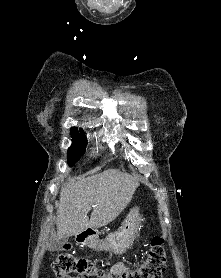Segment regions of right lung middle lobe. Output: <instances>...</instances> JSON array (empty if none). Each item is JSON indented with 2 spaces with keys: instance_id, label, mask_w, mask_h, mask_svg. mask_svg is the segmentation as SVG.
Wrapping results in <instances>:
<instances>
[{
  "instance_id": "1",
  "label": "right lung middle lobe",
  "mask_w": 221,
  "mask_h": 278,
  "mask_svg": "<svg viewBox=\"0 0 221 278\" xmlns=\"http://www.w3.org/2000/svg\"><path fill=\"white\" fill-rule=\"evenodd\" d=\"M71 136L73 138V144L68 149V163L72 166L77 160H79L80 155L84 153L85 147L87 145V140L83 130L77 128L71 129Z\"/></svg>"
}]
</instances>
